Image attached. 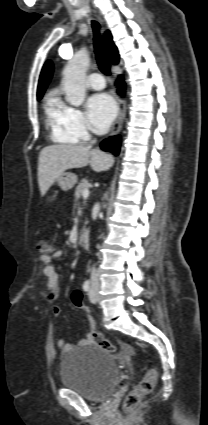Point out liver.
Masks as SVG:
<instances>
[{
	"mask_svg": "<svg viewBox=\"0 0 208 425\" xmlns=\"http://www.w3.org/2000/svg\"><path fill=\"white\" fill-rule=\"evenodd\" d=\"M114 158L99 149L81 145L56 144L44 147L38 158V184L42 196L60 175L68 169L82 168L90 164L95 172L113 166Z\"/></svg>",
	"mask_w": 208,
	"mask_h": 425,
	"instance_id": "1",
	"label": "liver"
}]
</instances>
